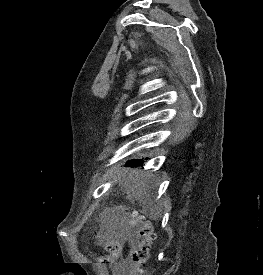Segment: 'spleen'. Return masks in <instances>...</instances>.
Listing matches in <instances>:
<instances>
[{
	"label": "spleen",
	"instance_id": "obj_1",
	"mask_svg": "<svg viewBox=\"0 0 263 275\" xmlns=\"http://www.w3.org/2000/svg\"><path fill=\"white\" fill-rule=\"evenodd\" d=\"M127 185L135 198L144 206L150 207L151 177L147 174H132Z\"/></svg>",
	"mask_w": 263,
	"mask_h": 275
}]
</instances>
